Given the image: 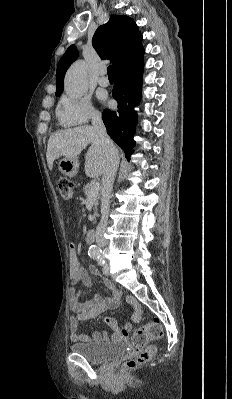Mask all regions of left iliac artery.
<instances>
[{"label": "left iliac artery", "instance_id": "44dca946", "mask_svg": "<svg viewBox=\"0 0 232 399\" xmlns=\"http://www.w3.org/2000/svg\"><path fill=\"white\" fill-rule=\"evenodd\" d=\"M98 263H99L100 265H103V264L105 263V261H104L102 258H99V259H98Z\"/></svg>", "mask_w": 232, "mask_h": 399}]
</instances>
